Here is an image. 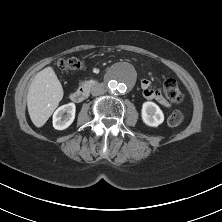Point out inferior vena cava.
<instances>
[{
	"label": "inferior vena cava",
	"mask_w": 222,
	"mask_h": 222,
	"mask_svg": "<svg viewBox=\"0 0 222 222\" xmlns=\"http://www.w3.org/2000/svg\"><path fill=\"white\" fill-rule=\"evenodd\" d=\"M106 91L105 86L102 83H98L91 88V94L93 96H99L104 94Z\"/></svg>",
	"instance_id": "602c4592"
}]
</instances>
